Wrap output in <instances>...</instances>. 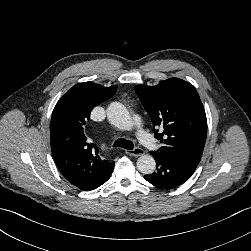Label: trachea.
<instances>
[{
    "mask_svg": "<svg viewBox=\"0 0 251 251\" xmlns=\"http://www.w3.org/2000/svg\"><path fill=\"white\" fill-rule=\"evenodd\" d=\"M113 147H121L127 150H132L134 148V144L130 140L119 138L114 142Z\"/></svg>",
    "mask_w": 251,
    "mask_h": 251,
    "instance_id": "trachea-1",
    "label": "trachea"
}]
</instances>
